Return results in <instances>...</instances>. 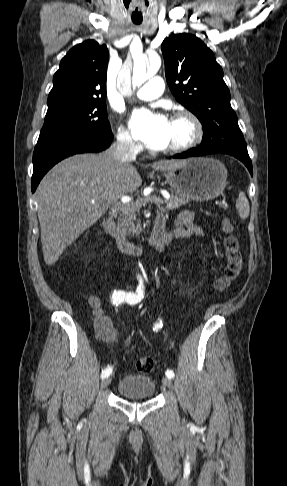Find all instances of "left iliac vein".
I'll use <instances>...</instances> for the list:
<instances>
[{
	"label": "left iliac vein",
	"instance_id": "obj_1",
	"mask_svg": "<svg viewBox=\"0 0 287 486\" xmlns=\"http://www.w3.org/2000/svg\"><path fill=\"white\" fill-rule=\"evenodd\" d=\"M163 385L169 389H172V382L168 377L162 379Z\"/></svg>",
	"mask_w": 287,
	"mask_h": 486
}]
</instances>
